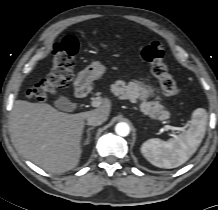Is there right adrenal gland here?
<instances>
[{
    "label": "right adrenal gland",
    "instance_id": "2a0ac1e0",
    "mask_svg": "<svg viewBox=\"0 0 218 210\" xmlns=\"http://www.w3.org/2000/svg\"><path fill=\"white\" fill-rule=\"evenodd\" d=\"M93 127H90L87 129V138L84 141V145L88 144L90 142V131L93 130Z\"/></svg>",
    "mask_w": 218,
    "mask_h": 210
}]
</instances>
